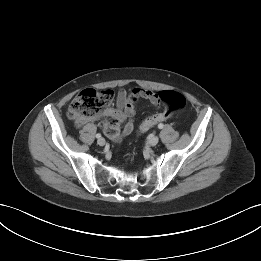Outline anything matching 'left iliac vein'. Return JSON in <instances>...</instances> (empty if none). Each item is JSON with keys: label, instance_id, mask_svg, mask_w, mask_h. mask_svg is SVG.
Wrapping results in <instances>:
<instances>
[{"label": "left iliac vein", "instance_id": "4c4485c4", "mask_svg": "<svg viewBox=\"0 0 261 261\" xmlns=\"http://www.w3.org/2000/svg\"><path fill=\"white\" fill-rule=\"evenodd\" d=\"M158 142H159V138H158L157 136H153V137H151L150 140H149V144H150L151 146L157 145Z\"/></svg>", "mask_w": 261, "mask_h": 261}]
</instances>
